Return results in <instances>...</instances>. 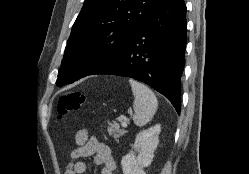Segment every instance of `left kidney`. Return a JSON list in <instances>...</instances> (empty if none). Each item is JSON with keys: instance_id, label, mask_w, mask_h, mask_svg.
I'll return each mask as SVG.
<instances>
[{"instance_id": "1", "label": "left kidney", "mask_w": 249, "mask_h": 174, "mask_svg": "<svg viewBox=\"0 0 249 174\" xmlns=\"http://www.w3.org/2000/svg\"><path fill=\"white\" fill-rule=\"evenodd\" d=\"M160 131L161 126L157 124L136 135L133 148L138 155L130 152L123 156L121 161L123 174H146L144 168L148 167L153 160Z\"/></svg>"}]
</instances>
